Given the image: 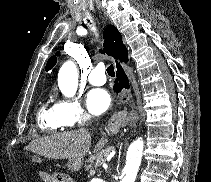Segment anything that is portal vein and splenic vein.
Wrapping results in <instances>:
<instances>
[{"mask_svg":"<svg viewBox=\"0 0 211 182\" xmlns=\"http://www.w3.org/2000/svg\"><path fill=\"white\" fill-rule=\"evenodd\" d=\"M90 173H91V175H93V174H95V171H94V170H92Z\"/></svg>","mask_w":211,"mask_h":182,"instance_id":"obj_1","label":"portal vein and splenic vein"}]
</instances>
